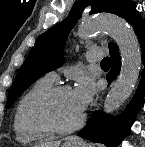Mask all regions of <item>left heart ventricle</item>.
<instances>
[{
	"mask_svg": "<svg viewBox=\"0 0 145 147\" xmlns=\"http://www.w3.org/2000/svg\"><path fill=\"white\" fill-rule=\"evenodd\" d=\"M51 114L53 118L62 126H70L78 121L82 115L72 90L59 95L51 104Z\"/></svg>",
	"mask_w": 145,
	"mask_h": 147,
	"instance_id": "obj_1",
	"label": "left heart ventricle"
}]
</instances>
